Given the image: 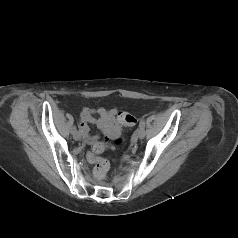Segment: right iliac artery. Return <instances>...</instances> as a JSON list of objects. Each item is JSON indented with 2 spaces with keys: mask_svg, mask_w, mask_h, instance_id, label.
I'll return each mask as SVG.
<instances>
[{
  "mask_svg": "<svg viewBox=\"0 0 238 238\" xmlns=\"http://www.w3.org/2000/svg\"><path fill=\"white\" fill-rule=\"evenodd\" d=\"M76 131H77L76 126H73V128H72V133H75Z\"/></svg>",
  "mask_w": 238,
  "mask_h": 238,
  "instance_id": "obj_1",
  "label": "right iliac artery"
}]
</instances>
